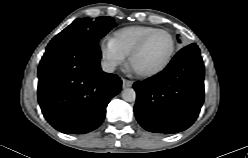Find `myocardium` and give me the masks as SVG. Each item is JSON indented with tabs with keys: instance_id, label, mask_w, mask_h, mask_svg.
Masks as SVG:
<instances>
[{
	"instance_id": "obj_1",
	"label": "myocardium",
	"mask_w": 248,
	"mask_h": 158,
	"mask_svg": "<svg viewBox=\"0 0 248 158\" xmlns=\"http://www.w3.org/2000/svg\"><path fill=\"white\" fill-rule=\"evenodd\" d=\"M156 33H163L166 34L171 41V47L169 50V53L167 55V57L165 58V60L156 68L150 69V70H146V71H136L135 72L140 75V76H144V77H149V76H154L160 72H162L171 62L174 53H175V49H176V42H175V38L174 36L167 30L164 29H155L149 33H147L139 42L138 44L132 49V51L130 52V54L128 55V61L129 64H132L133 59L135 58V56L137 54H139L141 52V50L144 48V46L146 45L147 41Z\"/></svg>"
}]
</instances>
